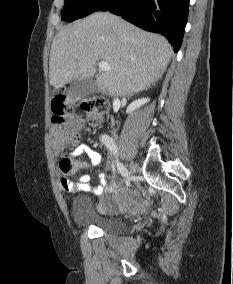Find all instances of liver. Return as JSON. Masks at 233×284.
<instances>
[{
    "mask_svg": "<svg viewBox=\"0 0 233 284\" xmlns=\"http://www.w3.org/2000/svg\"><path fill=\"white\" fill-rule=\"evenodd\" d=\"M170 43L112 15L93 13L62 28L54 37L49 80L60 88L73 80L96 77L98 89L111 97L133 95L154 85L166 71ZM109 71L97 74V62Z\"/></svg>",
    "mask_w": 233,
    "mask_h": 284,
    "instance_id": "liver-1",
    "label": "liver"
}]
</instances>
